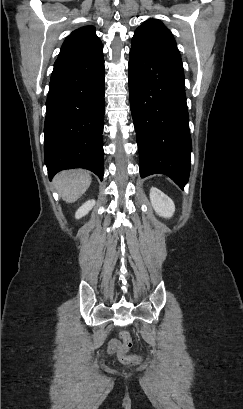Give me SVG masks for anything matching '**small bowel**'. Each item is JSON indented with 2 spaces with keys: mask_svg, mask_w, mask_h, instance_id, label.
I'll return each mask as SVG.
<instances>
[{
  "mask_svg": "<svg viewBox=\"0 0 243 409\" xmlns=\"http://www.w3.org/2000/svg\"><path fill=\"white\" fill-rule=\"evenodd\" d=\"M119 345L120 343L118 340L112 339L108 345V349H107L108 354L111 356H118Z\"/></svg>",
  "mask_w": 243,
  "mask_h": 409,
  "instance_id": "c3829d8e",
  "label": "small bowel"
}]
</instances>
